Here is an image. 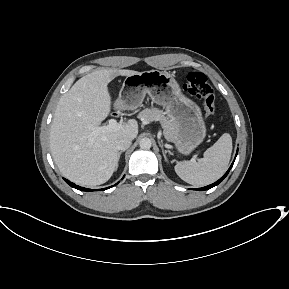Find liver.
Masks as SVG:
<instances>
[{"label":"liver","instance_id":"1","mask_svg":"<svg viewBox=\"0 0 289 289\" xmlns=\"http://www.w3.org/2000/svg\"><path fill=\"white\" fill-rule=\"evenodd\" d=\"M133 70L100 69L75 82L61 96L51 124L50 149L60 172L69 180L87 186L107 182L118 164L116 146L122 136L135 139L138 123L129 120L118 130L93 135V128L111 111L108 84L117 76Z\"/></svg>","mask_w":289,"mask_h":289}]
</instances>
